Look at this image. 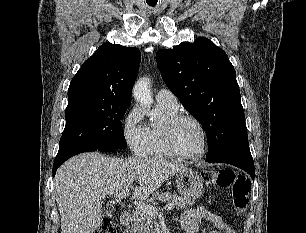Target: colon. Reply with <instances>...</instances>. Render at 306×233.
<instances>
[{
  "mask_svg": "<svg viewBox=\"0 0 306 233\" xmlns=\"http://www.w3.org/2000/svg\"><path fill=\"white\" fill-rule=\"evenodd\" d=\"M203 177L209 186L231 189L234 212L236 214H244L246 212L251 181L244 174L231 168H222L206 171ZM94 233H116L114 220L112 218L104 219Z\"/></svg>",
  "mask_w": 306,
  "mask_h": 233,
  "instance_id": "colon-1",
  "label": "colon"
}]
</instances>
